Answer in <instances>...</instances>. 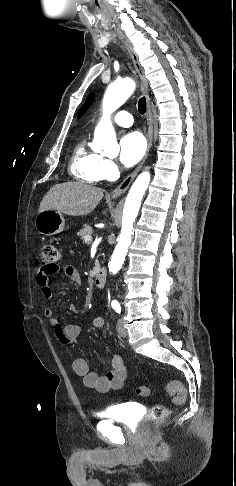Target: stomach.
I'll return each mask as SVG.
<instances>
[{
    "label": "stomach",
    "instance_id": "obj_1",
    "mask_svg": "<svg viewBox=\"0 0 236 486\" xmlns=\"http://www.w3.org/2000/svg\"><path fill=\"white\" fill-rule=\"evenodd\" d=\"M34 225L38 233L49 236L63 231L65 219L61 212L44 210L37 214Z\"/></svg>",
    "mask_w": 236,
    "mask_h": 486
}]
</instances>
